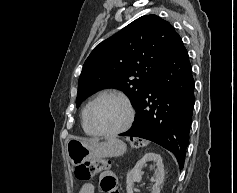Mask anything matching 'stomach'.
I'll return each instance as SVG.
<instances>
[{
  "label": "stomach",
  "mask_w": 237,
  "mask_h": 193,
  "mask_svg": "<svg viewBox=\"0 0 237 193\" xmlns=\"http://www.w3.org/2000/svg\"><path fill=\"white\" fill-rule=\"evenodd\" d=\"M126 149V144L117 138L104 142L71 139L66 145L67 156L73 166L97 158L119 157L126 152Z\"/></svg>",
  "instance_id": "stomach-1"
}]
</instances>
